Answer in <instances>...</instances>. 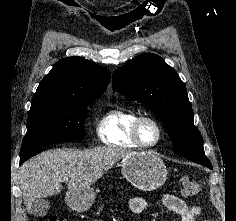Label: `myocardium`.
Masks as SVG:
<instances>
[{
  "mask_svg": "<svg viewBox=\"0 0 236 221\" xmlns=\"http://www.w3.org/2000/svg\"><path fill=\"white\" fill-rule=\"evenodd\" d=\"M144 122L152 123L157 130V138L153 143H145V142H143V140L140 137V129H141V126ZM130 135H131V139L140 148H146V149L153 148L160 143V141L163 137V128H162V125L160 124V122L156 118H154L152 116H148V115H142V116H138L134 120V122L132 123Z\"/></svg>",
  "mask_w": 236,
  "mask_h": 221,
  "instance_id": "obj_1",
  "label": "myocardium"
}]
</instances>
